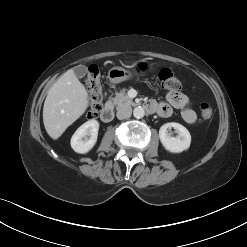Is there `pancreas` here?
Segmentation results:
<instances>
[{
  "instance_id": "cf45deb5",
  "label": "pancreas",
  "mask_w": 247,
  "mask_h": 247,
  "mask_svg": "<svg viewBox=\"0 0 247 247\" xmlns=\"http://www.w3.org/2000/svg\"><path fill=\"white\" fill-rule=\"evenodd\" d=\"M126 90L123 89L120 92H117L115 97L112 99L113 104L117 107H120L124 104L126 105H134L135 103L132 101L131 98L128 97V95L125 92Z\"/></svg>"
}]
</instances>
